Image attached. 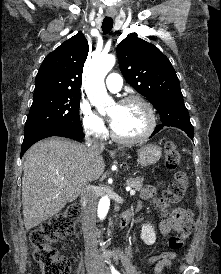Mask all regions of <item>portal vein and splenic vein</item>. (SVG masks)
<instances>
[{
    "instance_id": "1",
    "label": "portal vein and splenic vein",
    "mask_w": 221,
    "mask_h": 274,
    "mask_svg": "<svg viewBox=\"0 0 221 274\" xmlns=\"http://www.w3.org/2000/svg\"><path fill=\"white\" fill-rule=\"evenodd\" d=\"M127 190L130 191V195H135V190L131 189L130 187H127Z\"/></svg>"
}]
</instances>
